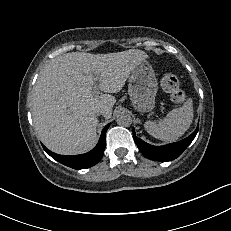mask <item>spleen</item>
Masks as SVG:
<instances>
[{"instance_id":"obj_1","label":"spleen","mask_w":231,"mask_h":231,"mask_svg":"<svg viewBox=\"0 0 231 231\" xmlns=\"http://www.w3.org/2000/svg\"><path fill=\"white\" fill-rule=\"evenodd\" d=\"M193 120L192 99H188L182 107L171 110L160 121H146V131L156 139L171 142L179 139L190 127Z\"/></svg>"}]
</instances>
